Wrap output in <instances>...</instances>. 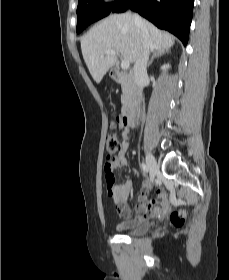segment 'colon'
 I'll return each instance as SVG.
<instances>
[{"mask_svg":"<svg viewBox=\"0 0 229 280\" xmlns=\"http://www.w3.org/2000/svg\"><path fill=\"white\" fill-rule=\"evenodd\" d=\"M120 125V122L117 118H114L110 121V128L113 130L108 134L106 139V152H105V178L106 181L115 185V173L113 170V157L121 149V142L114 132ZM170 219L172 223L176 226H181L184 221V213L180 210H175L170 214Z\"/></svg>","mask_w":229,"mask_h":280,"instance_id":"colon-1","label":"colon"}]
</instances>
